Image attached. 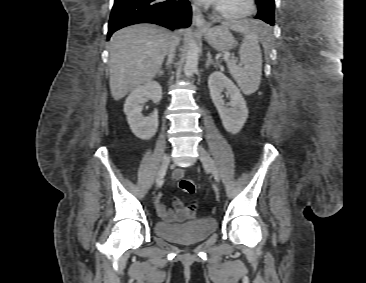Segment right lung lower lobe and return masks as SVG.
<instances>
[{
	"label": "right lung lower lobe",
	"instance_id": "98d812e1",
	"mask_svg": "<svg viewBox=\"0 0 366 283\" xmlns=\"http://www.w3.org/2000/svg\"><path fill=\"white\" fill-rule=\"evenodd\" d=\"M138 23H154L172 30L189 27L190 3L188 0H114L107 38L118 29Z\"/></svg>",
	"mask_w": 366,
	"mask_h": 283
}]
</instances>
